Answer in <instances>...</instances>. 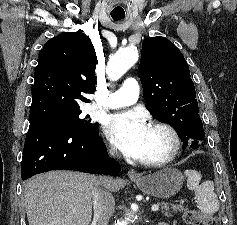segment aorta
<instances>
[{
  "instance_id": "obj_1",
  "label": "aorta",
  "mask_w": 237,
  "mask_h": 225,
  "mask_svg": "<svg viewBox=\"0 0 237 225\" xmlns=\"http://www.w3.org/2000/svg\"><path fill=\"white\" fill-rule=\"evenodd\" d=\"M138 61V51L134 47L119 50L109 60L107 74L111 80H118L127 70ZM133 215L129 214L123 220H117L115 225H128L133 220Z\"/></svg>"
}]
</instances>
